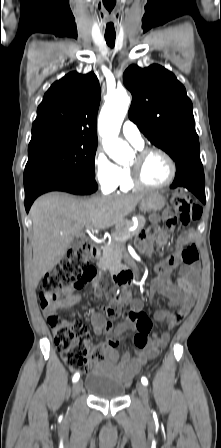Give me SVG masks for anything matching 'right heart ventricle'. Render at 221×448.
Masks as SVG:
<instances>
[{"label": "right heart ventricle", "mask_w": 221, "mask_h": 448, "mask_svg": "<svg viewBox=\"0 0 221 448\" xmlns=\"http://www.w3.org/2000/svg\"><path fill=\"white\" fill-rule=\"evenodd\" d=\"M121 177L119 184L117 186L118 190L121 192H128L136 188V186L131 182L130 172L128 167H121Z\"/></svg>", "instance_id": "obj_1"}]
</instances>
